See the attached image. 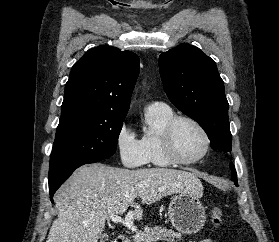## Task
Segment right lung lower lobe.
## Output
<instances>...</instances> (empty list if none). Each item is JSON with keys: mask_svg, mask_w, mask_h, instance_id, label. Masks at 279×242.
<instances>
[{"mask_svg": "<svg viewBox=\"0 0 279 242\" xmlns=\"http://www.w3.org/2000/svg\"><path fill=\"white\" fill-rule=\"evenodd\" d=\"M104 158H88L84 159L82 161H79L78 163L72 165L69 167L66 171L60 173L58 176L54 177L53 179L49 180V193H50V199L53 202V195L56 192V190L62 185V183L70 177V175L73 173L75 169L78 167L88 164V163H95L98 161L103 160Z\"/></svg>", "mask_w": 279, "mask_h": 242, "instance_id": "98d812e1", "label": "right lung lower lobe"}]
</instances>
